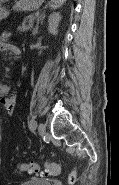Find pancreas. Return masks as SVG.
Returning <instances> with one entry per match:
<instances>
[{"label":"pancreas","instance_id":"1","mask_svg":"<svg viewBox=\"0 0 119 185\" xmlns=\"http://www.w3.org/2000/svg\"><path fill=\"white\" fill-rule=\"evenodd\" d=\"M36 15H29L25 21L23 22L22 26L18 28L19 31H27L33 27L34 20Z\"/></svg>","mask_w":119,"mask_h":185}]
</instances>
